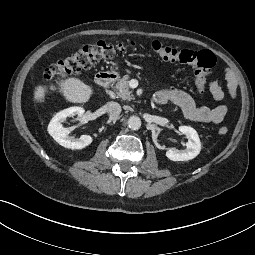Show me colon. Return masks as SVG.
Instances as JSON below:
<instances>
[{"mask_svg":"<svg viewBox=\"0 0 255 255\" xmlns=\"http://www.w3.org/2000/svg\"><path fill=\"white\" fill-rule=\"evenodd\" d=\"M135 47L133 42L110 43L99 41L87 44L78 49L74 54L59 60L51 65L44 74V81L54 87L62 78L75 72L90 68L100 60L110 59L118 54L125 53ZM153 52L162 60L191 65L194 68L195 85L200 93L207 86V76L215 65L216 59L212 52L176 49L160 41L151 44ZM220 135L228 133L226 126L218 129Z\"/></svg>","mask_w":255,"mask_h":255,"instance_id":"colon-1","label":"colon"}]
</instances>
